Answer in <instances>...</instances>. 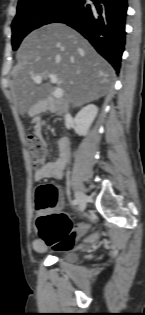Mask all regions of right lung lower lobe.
Listing matches in <instances>:
<instances>
[{"mask_svg": "<svg viewBox=\"0 0 145 315\" xmlns=\"http://www.w3.org/2000/svg\"><path fill=\"white\" fill-rule=\"evenodd\" d=\"M73 0L54 22L66 23L80 32L119 72L125 45L127 0Z\"/></svg>", "mask_w": 145, "mask_h": 315, "instance_id": "obj_1", "label": "right lung lower lobe"}]
</instances>
